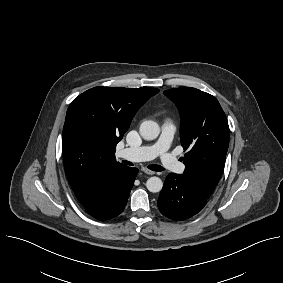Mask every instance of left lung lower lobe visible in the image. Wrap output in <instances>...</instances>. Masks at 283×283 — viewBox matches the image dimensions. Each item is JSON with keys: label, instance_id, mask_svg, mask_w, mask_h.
<instances>
[{"label": "left lung lower lobe", "instance_id": "obj_1", "mask_svg": "<svg viewBox=\"0 0 283 283\" xmlns=\"http://www.w3.org/2000/svg\"><path fill=\"white\" fill-rule=\"evenodd\" d=\"M208 198L198 192L183 175L170 173L157 204L167 218L185 220L201 211Z\"/></svg>", "mask_w": 283, "mask_h": 283}]
</instances>
